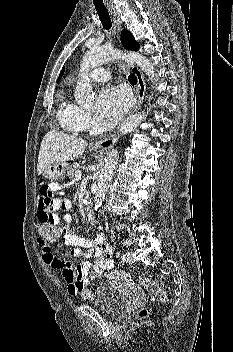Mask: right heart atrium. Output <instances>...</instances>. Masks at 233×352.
I'll return each mask as SVG.
<instances>
[{
  "label": "right heart atrium",
  "instance_id": "1",
  "mask_svg": "<svg viewBox=\"0 0 233 352\" xmlns=\"http://www.w3.org/2000/svg\"><path fill=\"white\" fill-rule=\"evenodd\" d=\"M80 119L83 130L90 128L93 124V119L89 111L81 109Z\"/></svg>",
  "mask_w": 233,
  "mask_h": 352
}]
</instances>
